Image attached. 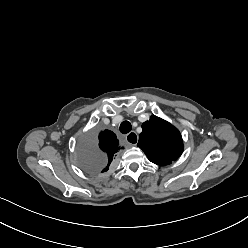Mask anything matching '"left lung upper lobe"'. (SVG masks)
Instances as JSON below:
<instances>
[{"mask_svg":"<svg viewBox=\"0 0 248 248\" xmlns=\"http://www.w3.org/2000/svg\"><path fill=\"white\" fill-rule=\"evenodd\" d=\"M137 146L157 165L171 164L182 154L184 147L178 129L155 115L142 124Z\"/></svg>","mask_w":248,"mask_h":248,"instance_id":"left-lung-upper-lobe-1","label":"left lung upper lobe"}]
</instances>
